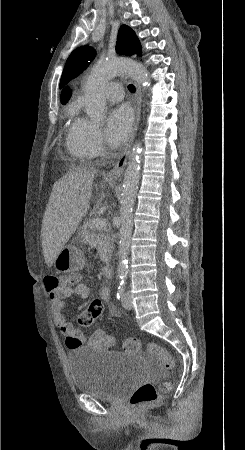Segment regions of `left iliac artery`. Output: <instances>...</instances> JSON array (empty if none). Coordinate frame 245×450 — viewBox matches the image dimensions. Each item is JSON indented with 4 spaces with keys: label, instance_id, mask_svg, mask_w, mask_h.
Here are the masks:
<instances>
[{
    "label": "left iliac artery",
    "instance_id": "left-iliac-artery-1",
    "mask_svg": "<svg viewBox=\"0 0 245 450\" xmlns=\"http://www.w3.org/2000/svg\"><path fill=\"white\" fill-rule=\"evenodd\" d=\"M125 284H126V280L122 279L120 284H119V286H118L117 294H116L118 300L122 299V296H123V293H124V290H125Z\"/></svg>",
    "mask_w": 245,
    "mask_h": 450
}]
</instances>
